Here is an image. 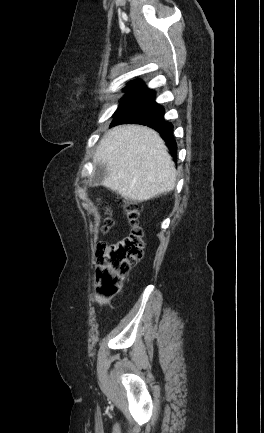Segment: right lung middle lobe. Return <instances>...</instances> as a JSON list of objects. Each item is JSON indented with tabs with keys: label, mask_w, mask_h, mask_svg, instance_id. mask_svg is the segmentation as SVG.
<instances>
[{
	"label": "right lung middle lobe",
	"mask_w": 264,
	"mask_h": 433,
	"mask_svg": "<svg viewBox=\"0 0 264 433\" xmlns=\"http://www.w3.org/2000/svg\"><path fill=\"white\" fill-rule=\"evenodd\" d=\"M140 92L141 89L137 91H132L123 97L118 109L114 113L115 116L114 120L123 119L125 117L131 116L133 113L137 111V108L139 107L138 101H139Z\"/></svg>",
	"instance_id": "dd1d6c3e"
}]
</instances>
